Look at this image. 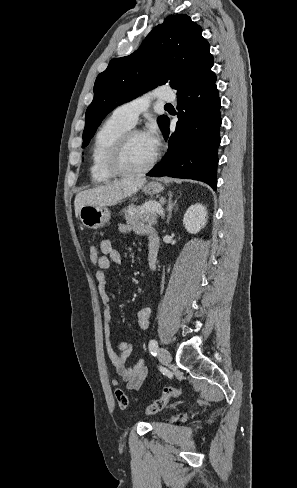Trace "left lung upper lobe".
Wrapping results in <instances>:
<instances>
[{
  "mask_svg": "<svg viewBox=\"0 0 297 488\" xmlns=\"http://www.w3.org/2000/svg\"><path fill=\"white\" fill-rule=\"evenodd\" d=\"M202 29L188 15H171L156 26L138 50L112 59L94 84V99L86 111L82 147L116 106L170 80L177 95L190 90L211 73L213 56ZM167 116L158 123L163 131Z\"/></svg>",
  "mask_w": 297,
  "mask_h": 488,
  "instance_id": "left-lung-upper-lobe-1",
  "label": "left lung upper lobe"
}]
</instances>
